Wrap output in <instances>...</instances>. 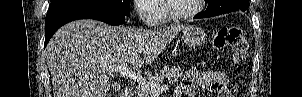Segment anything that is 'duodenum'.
<instances>
[{"label":"duodenum","mask_w":302,"mask_h":97,"mask_svg":"<svg viewBox=\"0 0 302 97\" xmlns=\"http://www.w3.org/2000/svg\"><path fill=\"white\" fill-rule=\"evenodd\" d=\"M119 97H134V89L131 86H127Z\"/></svg>","instance_id":"1"}]
</instances>
